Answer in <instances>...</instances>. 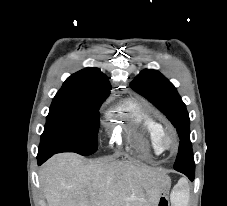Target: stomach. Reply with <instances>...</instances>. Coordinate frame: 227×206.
<instances>
[{
	"label": "stomach",
	"instance_id": "0dacf381",
	"mask_svg": "<svg viewBox=\"0 0 227 206\" xmlns=\"http://www.w3.org/2000/svg\"><path fill=\"white\" fill-rule=\"evenodd\" d=\"M168 190H169V188H166V189L164 190V192L161 194L157 206H168V205H169V204H168V197H167Z\"/></svg>",
	"mask_w": 227,
	"mask_h": 206
}]
</instances>
